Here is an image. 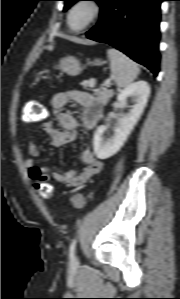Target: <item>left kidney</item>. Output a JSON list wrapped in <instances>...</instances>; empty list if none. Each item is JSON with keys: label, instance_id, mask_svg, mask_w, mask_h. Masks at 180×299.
Listing matches in <instances>:
<instances>
[{"label": "left kidney", "instance_id": "5707ae66", "mask_svg": "<svg viewBox=\"0 0 180 299\" xmlns=\"http://www.w3.org/2000/svg\"><path fill=\"white\" fill-rule=\"evenodd\" d=\"M150 95V87L145 81L135 82L117 96V107L130 108L127 113L121 115L118 126L114 128V136L104 140L103 134L107 127L101 125L97 128L94 139V152L99 159H107L117 153L123 146L134 126L142 115ZM129 101L132 105H129Z\"/></svg>", "mask_w": 180, "mask_h": 299}]
</instances>
